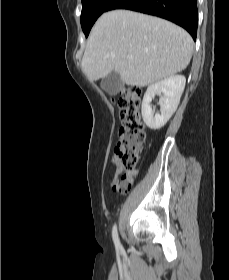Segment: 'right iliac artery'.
Instances as JSON below:
<instances>
[{"instance_id":"82829eb1","label":"right iliac artery","mask_w":229,"mask_h":280,"mask_svg":"<svg viewBox=\"0 0 229 280\" xmlns=\"http://www.w3.org/2000/svg\"><path fill=\"white\" fill-rule=\"evenodd\" d=\"M112 237H113V241H114V244H115L116 248L121 249V244H120V241H119V238H118L116 224L113 226Z\"/></svg>"}]
</instances>
